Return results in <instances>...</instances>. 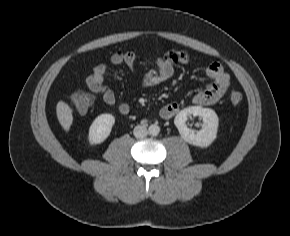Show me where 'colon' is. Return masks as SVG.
<instances>
[{
	"instance_id": "colon-1",
	"label": "colon",
	"mask_w": 290,
	"mask_h": 236,
	"mask_svg": "<svg viewBox=\"0 0 290 236\" xmlns=\"http://www.w3.org/2000/svg\"><path fill=\"white\" fill-rule=\"evenodd\" d=\"M242 100H243V95L241 92L233 91L230 94V101L233 104H239ZM71 101H72L75 109L79 113H85L86 111H88L90 109V107L93 104L92 96L88 93L81 92V91H78V92H75L74 94H72Z\"/></svg>"
}]
</instances>
